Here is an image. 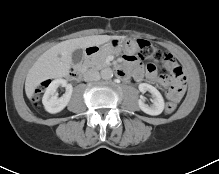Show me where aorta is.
<instances>
[{
    "instance_id": "762f6f07",
    "label": "aorta",
    "mask_w": 219,
    "mask_h": 174,
    "mask_svg": "<svg viewBox=\"0 0 219 174\" xmlns=\"http://www.w3.org/2000/svg\"><path fill=\"white\" fill-rule=\"evenodd\" d=\"M101 77L102 79L104 80H109L113 77V71L111 68H104L102 71H101Z\"/></svg>"
}]
</instances>
